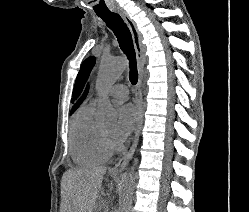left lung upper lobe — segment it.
Wrapping results in <instances>:
<instances>
[{"label": "left lung upper lobe", "instance_id": "obj_1", "mask_svg": "<svg viewBox=\"0 0 249 212\" xmlns=\"http://www.w3.org/2000/svg\"><path fill=\"white\" fill-rule=\"evenodd\" d=\"M94 64H95V58L89 57L81 65V69L77 75L73 94H72L73 99H76L79 96V94L84 86V83L87 80V78L90 74V71L93 68ZM72 102H73V100H72Z\"/></svg>", "mask_w": 249, "mask_h": 212}]
</instances>
